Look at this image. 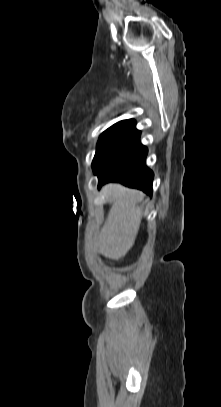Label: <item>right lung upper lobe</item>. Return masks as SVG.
Segmentation results:
<instances>
[{"label": "right lung upper lobe", "mask_w": 221, "mask_h": 407, "mask_svg": "<svg viewBox=\"0 0 221 407\" xmlns=\"http://www.w3.org/2000/svg\"><path fill=\"white\" fill-rule=\"evenodd\" d=\"M135 125H136V123H135V121H134L133 119H130V120H123V121H120V122L114 124L113 126H111V127L108 128V129H114V128H135ZM108 129H107V130H108Z\"/></svg>", "instance_id": "cb5924a9"}]
</instances>
